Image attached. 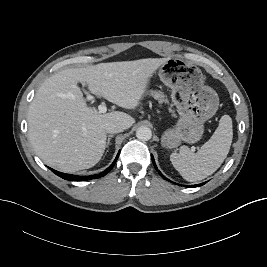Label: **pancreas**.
<instances>
[{"instance_id":"pancreas-1","label":"pancreas","mask_w":267,"mask_h":267,"mask_svg":"<svg viewBox=\"0 0 267 267\" xmlns=\"http://www.w3.org/2000/svg\"><path fill=\"white\" fill-rule=\"evenodd\" d=\"M149 95L152 96L154 99L158 100L159 102H168L166 95H164L161 91L151 90Z\"/></svg>"}]
</instances>
